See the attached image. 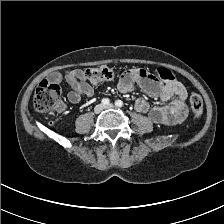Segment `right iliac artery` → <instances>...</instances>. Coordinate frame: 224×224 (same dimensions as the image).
Listing matches in <instances>:
<instances>
[{"instance_id":"82829eb1","label":"right iliac artery","mask_w":224,"mask_h":224,"mask_svg":"<svg viewBox=\"0 0 224 224\" xmlns=\"http://www.w3.org/2000/svg\"><path fill=\"white\" fill-rule=\"evenodd\" d=\"M101 103L103 105H108L110 103V100L108 98H103L102 101H101Z\"/></svg>"}]
</instances>
